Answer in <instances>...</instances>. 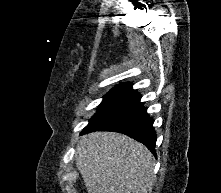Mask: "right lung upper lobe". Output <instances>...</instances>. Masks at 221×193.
Segmentation results:
<instances>
[{
    "label": "right lung upper lobe",
    "instance_id": "1",
    "mask_svg": "<svg viewBox=\"0 0 221 193\" xmlns=\"http://www.w3.org/2000/svg\"><path fill=\"white\" fill-rule=\"evenodd\" d=\"M121 85H127V86H131V84H130V83H123V84H121Z\"/></svg>",
    "mask_w": 221,
    "mask_h": 193
}]
</instances>
